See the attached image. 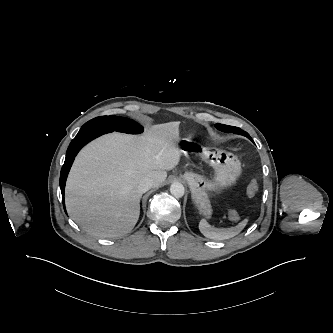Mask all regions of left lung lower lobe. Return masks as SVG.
Returning <instances> with one entry per match:
<instances>
[{"label": "left lung lower lobe", "instance_id": "0a47b994", "mask_svg": "<svg viewBox=\"0 0 333 333\" xmlns=\"http://www.w3.org/2000/svg\"><path fill=\"white\" fill-rule=\"evenodd\" d=\"M245 136H246L247 138H249L251 141H253V140L251 139V137L249 136V134H245Z\"/></svg>", "mask_w": 333, "mask_h": 333}]
</instances>
